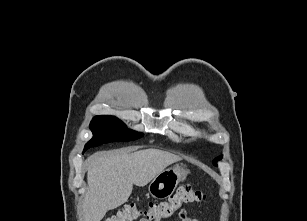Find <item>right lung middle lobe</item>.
I'll list each match as a JSON object with an SVG mask.
<instances>
[{
    "label": "right lung middle lobe",
    "instance_id": "obj_1",
    "mask_svg": "<svg viewBox=\"0 0 307 221\" xmlns=\"http://www.w3.org/2000/svg\"><path fill=\"white\" fill-rule=\"evenodd\" d=\"M90 129L93 138L86 143L84 151L104 143L131 141L143 136L142 133L127 129L119 119L106 115L95 116L90 123Z\"/></svg>",
    "mask_w": 307,
    "mask_h": 221
}]
</instances>
